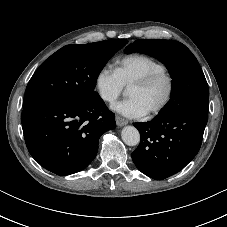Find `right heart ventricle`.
<instances>
[{"instance_id": "right-heart-ventricle-1", "label": "right heart ventricle", "mask_w": 227, "mask_h": 227, "mask_svg": "<svg viewBox=\"0 0 227 227\" xmlns=\"http://www.w3.org/2000/svg\"><path fill=\"white\" fill-rule=\"evenodd\" d=\"M163 69H165L164 64L150 56L131 54L117 59L114 70L124 87H128L135 80Z\"/></svg>"}]
</instances>
